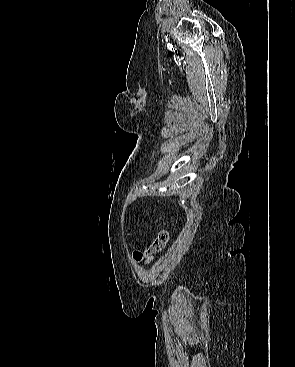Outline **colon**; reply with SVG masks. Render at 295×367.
Wrapping results in <instances>:
<instances>
[{"instance_id":"1","label":"colon","mask_w":295,"mask_h":367,"mask_svg":"<svg viewBox=\"0 0 295 367\" xmlns=\"http://www.w3.org/2000/svg\"><path fill=\"white\" fill-rule=\"evenodd\" d=\"M169 241V232L166 229H163L158 232L156 237L154 238L152 244L149 246V248L146 250L145 253L136 252L135 258L137 260L145 259H151L156 254L160 253L167 245Z\"/></svg>"}]
</instances>
